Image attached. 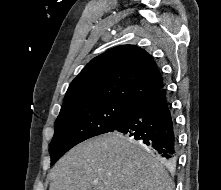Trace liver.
<instances>
[{"mask_svg":"<svg viewBox=\"0 0 221 190\" xmlns=\"http://www.w3.org/2000/svg\"><path fill=\"white\" fill-rule=\"evenodd\" d=\"M49 179V190H173L159 160L117 132L72 148L56 163Z\"/></svg>","mask_w":221,"mask_h":190,"instance_id":"1","label":"liver"}]
</instances>
